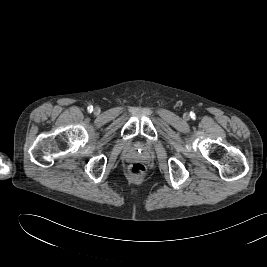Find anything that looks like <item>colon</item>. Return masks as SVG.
<instances>
[{"label":"colon","instance_id":"colon-1","mask_svg":"<svg viewBox=\"0 0 267 267\" xmlns=\"http://www.w3.org/2000/svg\"><path fill=\"white\" fill-rule=\"evenodd\" d=\"M145 172H146V168L141 163H133L129 167V173L134 178H141V177H143L144 174H145Z\"/></svg>","mask_w":267,"mask_h":267}]
</instances>
